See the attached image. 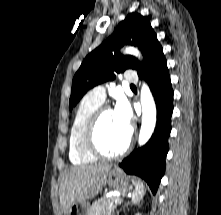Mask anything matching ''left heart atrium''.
<instances>
[{"label": "left heart atrium", "mask_w": 221, "mask_h": 215, "mask_svg": "<svg viewBox=\"0 0 221 215\" xmlns=\"http://www.w3.org/2000/svg\"><path fill=\"white\" fill-rule=\"evenodd\" d=\"M119 124L126 130L131 131L132 112L125 99H119L114 110Z\"/></svg>", "instance_id": "1"}]
</instances>
